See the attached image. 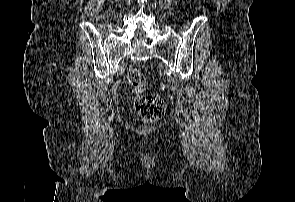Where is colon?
<instances>
[{"mask_svg":"<svg viewBox=\"0 0 295 202\" xmlns=\"http://www.w3.org/2000/svg\"><path fill=\"white\" fill-rule=\"evenodd\" d=\"M128 82L136 89H143L146 85L144 74L136 68H131L127 74ZM134 108L141 118L147 122L160 119L166 109L161 96L156 94H137L134 98Z\"/></svg>","mask_w":295,"mask_h":202,"instance_id":"5ec220e1","label":"colon"}]
</instances>
